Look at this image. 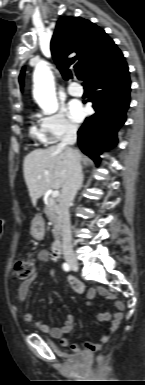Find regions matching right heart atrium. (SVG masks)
Wrapping results in <instances>:
<instances>
[{"label": "right heart atrium", "instance_id": "right-heart-atrium-1", "mask_svg": "<svg viewBox=\"0 0 145 385\" xmlns=\"http://www.w3.org/2000/svg\"><path fill=\"white\" fill-rule=\"evenodd\" d=\"M39 122L44 136L43 141L48 144L57 143L77 131V125L68 118L63 108L41 116Z\"/></svg>", "mask_w": 145, "mask_h": 385}]
</instances>
